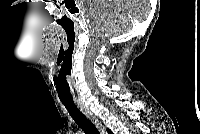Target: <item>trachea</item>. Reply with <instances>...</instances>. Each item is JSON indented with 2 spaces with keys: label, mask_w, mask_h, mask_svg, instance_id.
<instances>
[{
  "label": "trachea",
  "mask_w": 200,
  "mask_h": 134,
  "mask_svg": "<svg viewBox=\"0 0 200 134\" xmlns=\"http://www.w3.org/2000/svg\"><path fill=\"white\" fill-rule=\"evenodd\" d=\"M62 103L85 134H99L96 126L77 108L73 101H62Z\"/></svg>",
  "instance_id": "trachea-1"
}]
</instances>
